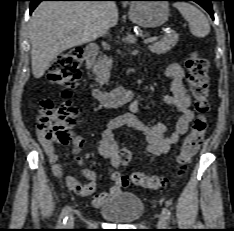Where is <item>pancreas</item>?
Instances as JSON below:
<instances>
[{
  "label": "pancreas",
  "mask_w": 234,
  "mask_h": 231,
  "mask_svg": "<svg viewBox=\"0 0 234 231\" xmlns=\"http://www.w3.org/2000/svg\"><path fill=\"white\" fill-rule=\"evenodd\" d=\"M179 36L176 33L164 35L159 41L154 42L149 46L152 53L165 54L178 42ZM111 60L106 56H101L93 66V73L98 77V82L103 85L107 83L110 76Z\"/></svg>",
  "instance_id": "cf45deb5"
}]
</instances>
